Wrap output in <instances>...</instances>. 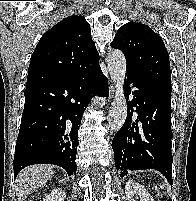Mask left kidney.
<instances>
[{
  "instance_id": "1",
  "label": "left kidney",
  "mask_w": 196,
  "mask_h": 201,
  "mask_svg": "<svg viewBox=\"0 0 196 201\" xmlns=\"http://www.w3.org/2000/svg\"><path fill=\"white\" fill-rule=\"evenodd\" d=\"M125 193L128 201H136V199L138 198L140 201H154V199L146 191V189L142 185L133 180L127 181L125 185Z\"/></svg>"
}]
</instances>
